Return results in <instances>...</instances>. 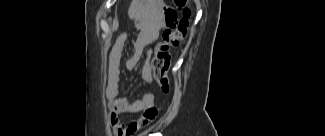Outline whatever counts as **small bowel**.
Segmentation results:
<instances>
[{
	"label": "small bowel",
	"instance_id": "c3829d8e",
	"mask_svg": "<svg viewBox=\"0 0 325 136\" xmlns=\"http://www.w3.org/2000/svg\"><path fill=\"white\" fill-rule=\"evenodd\" d=\"M162 28L160 17L150 19L146 27L137 35L133 42L134 53L128 60L127 67L132 68L140 60L144 48L154 42ZM127 39L125 34L118 37L109 54L108 74L105 95L110 109V123L117 136H131L140 129L148 126L155 118L157 109L154 106V95L146 93L139 99L119 97L120 63L123 46ZM151 50L146 53V60L142 68V79L146 83L152 82V69L150 65ZM124 113H141L134 121L123 123L119 116Z\"/></svg>",
	"mask_w": 325,
	"mask_h": 136
}]
</instances>
